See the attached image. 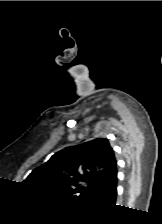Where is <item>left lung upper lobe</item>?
<instances>
[{"label": "left lung upper lobe", "instance_id": "5c2ea615", "mask_svg": "<svg viewBox=\"0 0 162 224\" xmlns=\"http://www.w3.org/2000/svg\"><path fill=\"white\" fill-rule=\"evenodd\" d=\"M116 165L108 140L97 138L55 153L34 169L24 183L67 196H88L117 171Z\"/></svg>", "mask_w": 162, "mask_h": 224}]
</instances>
